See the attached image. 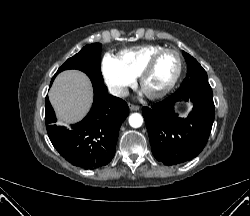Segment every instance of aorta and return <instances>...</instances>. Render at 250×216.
<instances>
[{"instance_id":"aorta-1","label":"aorta","mask_w":250,"mask_h":216,"mask_svg":"<svg viewBox=\"0 0 250 216\" xmlns=\"http://www.w3.org/2000/svg\"><path fill=\"white\" fill-rule=\"evenodd\" d=\"M129 124L133 128H139L143 124V117L139 113H133L129 116Z\"/></svg>"}]
</instances>
